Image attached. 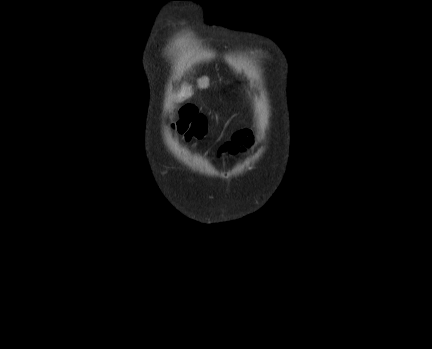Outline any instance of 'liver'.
Segmentation results:
<instances>
[{"label": "liver", "mask_w": 432, "mask_h": 349, "mask_svg": "<svg viewBox=\"0 0 432 349\" xmlns=\"http://www.w3.org/2000/svg\"><path fill=\"white\" fill-rule=\"evenodd\" d=\"M199 86L200 87H207L208 86V79L203 78L202 80H200ZM191 95H192V92L190 90H182L180 92V94L178 95V98H179V100H183V99L190 97Z\"/></svg>", "instance_id": "6515ba94"}]
</instances>
